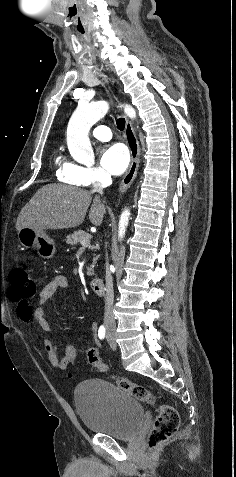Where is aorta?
I'll return each instance as SVG.
<instances>
[{
  "label": "aorta",
  "mask_w": 236,
  "mask_h": 477,
  "mask_svg": "<svg viewBox=\"0 0 236 477\" xmlns=\"http://www.w3.org/2000/svg\"><path fill=\"white\" fill-rule=\"evenodd\" d=\"M109 110V103L98 101L90 104H81L73 113L67 128V144L71 155L84 163L94 160L93 149L88 137V133L93 124L103 118ZM125 113L130 118L136 117L134 108L129 105L124 107ZM130 211L125 209L119 220V238L125 235L129 222Z\"/></svg>",
  "instance_id": "aorta-1"
}]
</instances>
